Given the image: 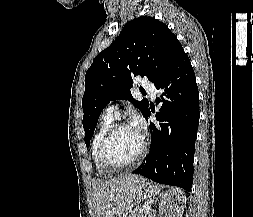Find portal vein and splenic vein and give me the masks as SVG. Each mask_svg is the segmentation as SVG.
Here are the masks:
<instances>
[{
	"mask_svg": "<svg viewBox=\"0 0 253 217\" xmlns=\"http://www.w3.org/2000/svg\"><path fill=\"white\" fill-rule=\"evenodd\" d=\"M151 207L150 206H148V207H146L145 209H144V211H143V214L144 215H148L150 212H151Z\"/></svg>",
	"mask_w": 253,
	"mask_h": 217,
	"instance_id": "1",
	"label": "portal vein and splenic vein"
}]
</instances>
